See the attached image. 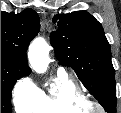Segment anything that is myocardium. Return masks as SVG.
Here are the masks:
<instances>
[{
    "label": "myocardium",
    "instance_id": "f54148a6",
    "mask_svg": "<svg viewBox=\"0 0 121 113\" xmlns=\"http://www.w3.org/2000/svg\"><path fill=\"white\" fill-rule=\"evenodd\" d=\"M80 109L85 113H106V108L97 100H87Z\"/></svg>",
    "mask_w": 121,
    "mask_h": 113
}]
</instances>
